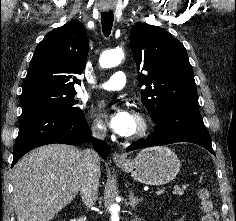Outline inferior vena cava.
<instances>
[{"mask_svg": "<svg viewBox=\"0 0 236 221\" xmlns=\"http://www.w3.org/2000/svg\"><path fill=\"white\" fill-rule=\"evenodd\" d=\"M92 135L98 139H104L106 132L103 129L93 127ZM83 173L80 183V195L87 207L94 205L98 198V187L100 177V157L93 149L82 151Z\"/></svg>", "mask_w": 236, "mask_h": 221, "instance_id": "1", "label": "inferior vena cava"}]
</instances>
